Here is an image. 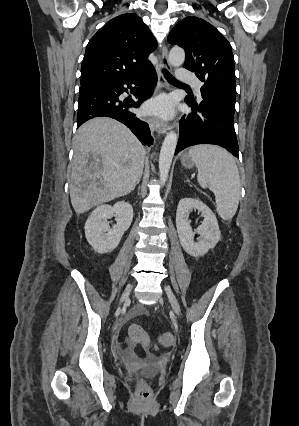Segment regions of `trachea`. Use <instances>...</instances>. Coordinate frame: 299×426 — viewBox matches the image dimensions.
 Masks as SVG:
<instances>
[{"mask_svg":"<svg viewBox=\"0 0 299 426\" xmlns=\"http://www.w3.org/2000/svg\"><path fill=\"white\" fill-rule=\"evenodd\" d=\"M165 78L171 83H180L167 70H163Z\"/></svg>","mask_w":299,"mask_h":426,"instance_id":"obj_1","label":"trachea"}]
</instances>
